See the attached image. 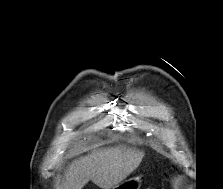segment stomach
Instances as JSON below:
<instances>
[{"mask_svg":"<svg viewBox=\"0 0 223 189\" xmlns=\"http://www.w3.org/2000/svg\"><path fill=\"white\" fill-rule=\"evenodd\" d=\"M140 187V178H131L121 182L120 184L114 186L112 189H139Z\"/></svg>","mask_w":223,"mask_h":189,"instance_id":"1","label":"stomach"}]
</instances>
